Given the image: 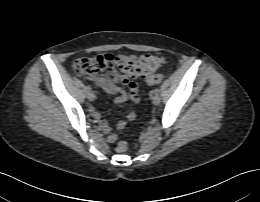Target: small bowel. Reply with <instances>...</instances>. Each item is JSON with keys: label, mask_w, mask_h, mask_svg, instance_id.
I'll return each mask as SVG.
<instances>
[{"label": "small bowel", "mask_w": 260, "mask_h": 202, "mask_svg": "<svg viewBox=\"0 0 260 202\" xmlns=\"http://www.w3.org/2000/svg\"><path fill=\"white\" fill-rule=\"evenodd\" d=\"M102 88L105 92L109 94H115V103L117 104H124L128 100H130L133 103H138L140 101V96H139V88L138 85L132 82L130 85H125V84H116V83H107V84H102ZM93 117L95 121L98 123L99 127L101 130L106 133L110 134L112 131V127L106 122L105 118L98 112L92 111ZM136 117V113L134 111H131L128 113L126 119L120 120L117 123V128L118 129H123L127 125V121H132ZM117 139L115 134H110L108 136V141L110 143L115 142Z\"/></svg>", "instance_id": "c3829d8e"}]
</instances>
